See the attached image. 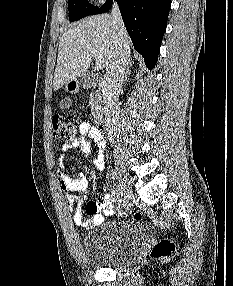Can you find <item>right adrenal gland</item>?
Returning <instances> with one entry per match:
<instances>
[{"label": "right adrenal gland", "instance_id": "2a0ac1e0", "mask_svg": "<svg viewBox=\"0 0 233 286\" xmlns=\"http://www.w3.org/2000/svg\"><path fill=\"white\" fill-rule=\"evenodd\" d=\"M131 66H132V62H130L129 65H128V67H127L125 80H127V77H128V75H129V73H130L129 68H130Z\"/></svg>", "mask_w": 233, "mask_h": 286}]
</instances>
